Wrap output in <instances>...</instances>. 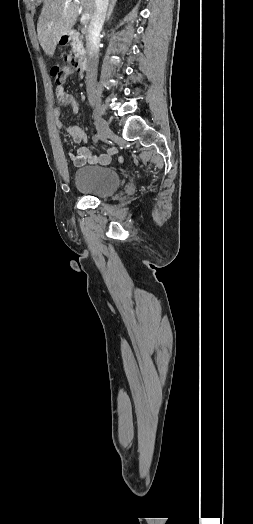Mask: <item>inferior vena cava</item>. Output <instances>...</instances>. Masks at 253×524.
Returning <instances> with one entry per match:
<instances>
[{
    "mask_svg": "<svg viewBox=\"0 0 253 524\" xmlns=\"http://www.w3.org/2000/svg\"><path fill=\"white\" fill-rule=\"evenodd\" d=\"M108 2L109 0H95L94 11L86 36L87 70L85 82L90 103H93L95 99L99 58V35L105 21Z\"/></svg>",
    "mask_w": 253,
    "mask_h": 524,
    "instance_id": "obj_1",
    "label": "inferior vena cava"
}]
</instances>
